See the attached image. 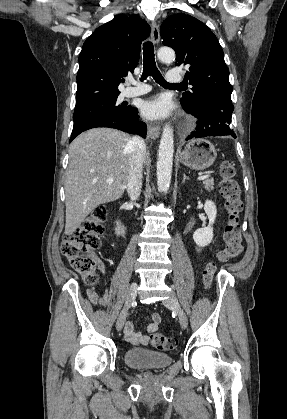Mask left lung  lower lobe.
<instances>
[{"label":"left lung lower lobe","instance_id":"left-lung-lower-lobe-1","mask_svg":"<svg viewBox=\"0 0 287 419\" xmlns=\"http://www.w3.org/2000/svg\"><path fill=\"white\" fill-rule=\"evenodd\" d=\"M183 108L198 119L195 130L186 140L227 135L236 138L234 131L230 128L234 110L231 99L210 97L204 99L194 109Z\"/></svg>","mask_w":287,"mask_h":419}]
</instances>
